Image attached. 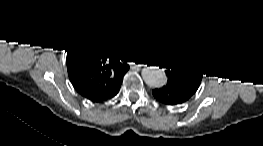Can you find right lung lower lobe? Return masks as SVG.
Listing matches in <instances>:
<instances>
[{"label":"right lung lower lobe","instance_id":"right-lung-lower-lobe-1","mask_svg":"<svg viewBox=\"0 0 263 146\" xmlns=\"http://www.w3.org/2000/svg\"><path fill=\"white\" fill-rule=\"evenodd\" d=\"M121 86V85H120ZM120 86L118 87V89L114 92V94H113V96H115L117 93H118V91H119V89H120ZM113 96H111L110 98H112ZM109 99V98H108ZM106 100V99H105Z\"/></svg>","mask_w":263,"mask_h":146}]
</instances>
